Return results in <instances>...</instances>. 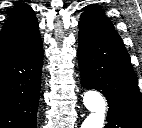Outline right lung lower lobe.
<instances>
[{
  "mask_svg": "<svg viewBox=\"0 0 142 128\" xmlns=\"http://www.w3.org/2000/svg\"><path fill=\"white\" fill-rule=\"evenodd\" d=\"M43 63L42 40L0 65V128H36Z\"/></svg>",
  "mask_w": 142,
  "mask_h": 128,
  "instance_id": "98d812e1",
  "label": "right lung lower lobe"
}]
</instances>
